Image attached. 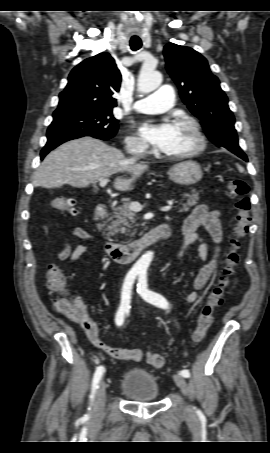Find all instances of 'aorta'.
I'll return each instance as SVG.
<instances>
[{
    "instance_id": "aorta-1",
    "label": "aorta",
    "mask_w": 270,
    "mask_h": 453,
    "mask_svg": "<svg viewBox=\"0 0 270 453\" xmlns=\"http://www.w3.org/2000/svg\"><path fill=\"white\" fill-rule=\"evenodd\" d=\"M162 83V75L154 69L143 67L138 78V91L147 94L157 89ZM153 258V252L145 253L136 263L135 268L145 270Z\"/></svg>"
}]
</instances>
